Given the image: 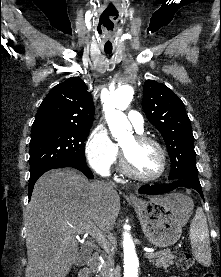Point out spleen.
Listing matches in <instances>:
<instances>
[{
	"label": "spleen",
	"instance_id": "1",
	"mask_svg": "<svg viewBox=\"0 0 221 277\" xmlns=\"http://www.w3.org/2000/svg\"><path fill=\"white\" fill-rule=\"evenodd\" d=\"M190 240L195 258L204 266H209L211 263L209 231L206 217L201 209L197 210L191 222Z\"/></svg>",
	"mask_w": 221,
	"mask_h": 277
}]
</instances>
